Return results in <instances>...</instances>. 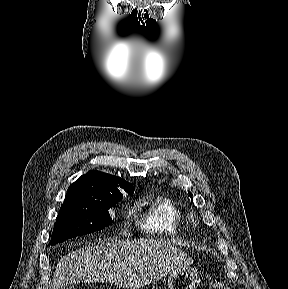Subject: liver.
<instances>
[{
  "mask_svg": "<svg viewBox=\"0 0 288 289\" xmlns=\"http://www.w3.org/2000/svg\"><path fill=\"white\" fill-rule=\"evenodd\" d=\"M192 263L170 241H103L62 257L51 289H63L71 276L85 283L109 282L117 288L140 289Z\"/></svg>",
  "mask_w": 288,
  "mask_h": 289,
  "instance_id": "6515ba94",
  "label": "liver"
}]
</instances>
